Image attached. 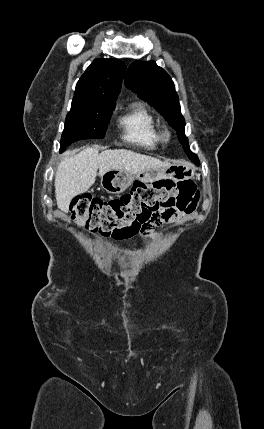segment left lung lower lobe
I'll return each mask as SVG.
<instances>
[{
  "mask_svg": "<svg viewBox=\"0 0 264 429\" xmlns=\"http://www.w3.org/2000/svg\"><path fill=\"white\" fill-rule=\"evenodd\" d=\"M189 158H190L192 161H194V162L198 161V159H197V156H196V155L189 156Z\"/></svg>",
  "mask_w": 264,
  "mask_h": 429,
  "instance_id": "obj_1",
  "label": "left lung lower lobe"
}]
</instances>
